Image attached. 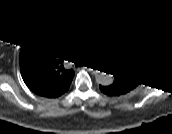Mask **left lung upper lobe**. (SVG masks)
<instances>
[{"label":"left lung upper lobe","instance_id":"1","mask_svg":"<svg viewBox=\"0 0 172 134\" xmlns=\"http://www.w3.org/2000/svg\"><path fill=\"white\" fill-rule=\"evenodd\" d=\"M109 67L114 81L109 86H100L108 95H121L137 87L145 79L147 67L140 52L124 41L113 45L109 55Z\"/></svg>","mask_w":172,"mask_h":134}]
</instances>
